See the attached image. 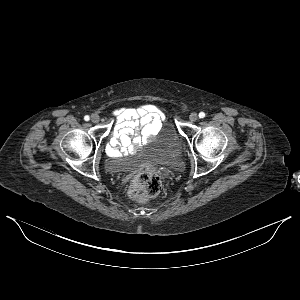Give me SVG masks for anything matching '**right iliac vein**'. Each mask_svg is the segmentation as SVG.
Returning <instances> with one entry per match:
<instances>
[{
	"label": "right iliac vein",
	"mask_w": 300,
	"mask_h": 300,
	"mask_svg": "<svg viewBox=\"0 0 300 300\" xmlns=\"http://www.w3.org/2000/svg\"><path fill=\"white\" fill-rule=\"evenodd\" d=\"M91 121H92L93 123H98V122L100 121L99 115L93 114V115L91 116Z\"/></svg>",
	"instance_id": "obj_1"
}]
</instances>
